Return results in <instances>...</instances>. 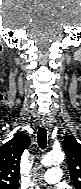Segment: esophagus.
Segmentation results:
<instances>
[{
    "label": "esophagus",
    "mask_w": 81,
    "mask_h": 189,
    "mask_svg": "<svg viewBox=\"0 0 81 189\" xmlns=\"http://www.w3.org/2000/svg\"><path fill=\"white\" fill-rule=\"evenodd\" d=\"M41 126L46 128L48 133L51 132L52 124L47 118H42L41 120Z\"/></svg>",
    "instance_id": "34e87169"
}]
</instances>
